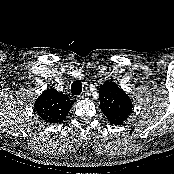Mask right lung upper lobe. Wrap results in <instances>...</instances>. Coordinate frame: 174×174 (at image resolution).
<instances>
[{
	"label": "right lung upper lobe",
	"mask_w": 174,
	"mask_h": 174,
	"mask_svg": "<svg viewBox=\"0 0 174 174\" xmlns=\"http://www.w3.org/2000/svg\"><path fill=\"white\" fill-rule=\"evenodd\" d=\"M73 101L54 88L45 90L34 103L35 112L45 122L54 124L63 121L68 115Z\"/></svg>",
	"instance_id": "right-lung-upper-lobe-1"
}]
</instances>
